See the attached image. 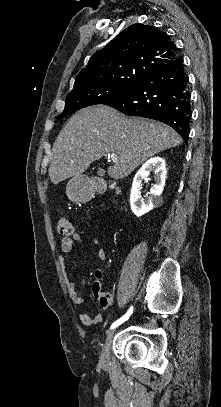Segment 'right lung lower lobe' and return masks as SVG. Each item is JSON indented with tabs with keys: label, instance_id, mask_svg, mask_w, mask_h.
Here are the masks:
<instances>
[{
	"label": "right lung lower lobe",
	"instance_id": "right-lung-lower-lobe-1",
	"mask_svg": "<svg viewBox=\"0 0 221 407\" xmlns=\"http://www.w3.org/2000/svg\"><path fill=\"white\" fill-rule=\"evenodd\" d=\"M191 93L183 60L177 54L124 95L108 105L131 116L161 121L175 129L187 143L191 119Z\"/></svg>",
	"mask_w": 221,
	"mask_h": 407
}]
</instances>
